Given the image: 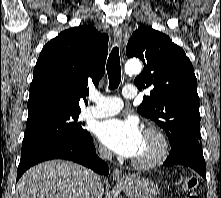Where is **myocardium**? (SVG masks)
I'll list each match as a JSON object with an SVG mask.
<instances>
[{
    "mask_svg": "<svg viewBox=\"0 0 221 198\" xmlns=\"http://www.w3.org/2000/svg\"><path fill=\"white\" fill-rule=\"evenodd\" d=\"M143 135L152 137L157 144L155 152L148 158L136 159L131 158V164L139 169H148L160 164L168 155L169 142L165 134L156 127H147L143 131Z\"/></svg>",
    "mask_w": 221,
    "mask_h": 198,
    "instance_id": "f54148a6",
    "label": "myocardium"
}]
</instances>
